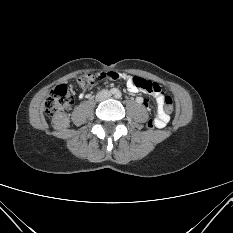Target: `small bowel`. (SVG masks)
I'll return each mask as SVG.
<instances>
[{
    "label": "small bowel",
    "mask_w": 233,
    "mask_h": 233,
    "mask_svg": "<svg viewBox=\"0 0 233 233\" xmlns=\"http://www.w3.org/2000/svg\"><path fill=\"white\" fill-rule=\"evenodd\" d=\"M98 80H121L125 81L127 88L130 92L136 93L141 91V89L137 88L133 83V77L130 74H123L119 72H106V73H98L97 74ZM83 95H80L82 98ZM156 101H157V115L155 117V127L156 128H164L169 122V115L166 113L164 109V99H163V92L159 94H155ZM137 102L139 104H143L144 106L148 107L149 102L147 99L142 97L137 98Z\"/></svg>",
    "instance_id": "1"
}]
</instances>
